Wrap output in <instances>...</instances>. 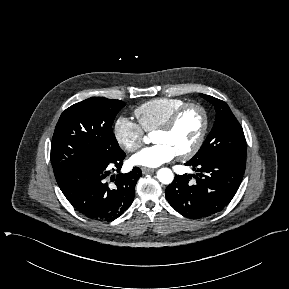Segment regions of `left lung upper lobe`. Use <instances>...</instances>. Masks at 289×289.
Masks as SVG:
<instances>
[{"mask_svg":"<svg viewBox=\"0 0 289 289\" xmlns=\"http://www.w3.org/2000/svg\"><path fill=\"white\" fill-rule=\"evenodd\" d=\"M200 95L214 106L216 119L200 150L189 162L196 164L209 158L227 154L246 155V140L243 129L229 106L215 97Z\"/></svg>","mask_w":289,"mask_h":289,"instance_id":"1","label":"left lung upper lobe"}]
</instances>
